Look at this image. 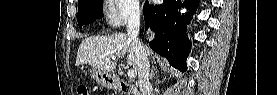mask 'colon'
Listing matches in <instances>:
<instances>
[{
  "label": "colon",
  "instance_id": "5ec220e1",
  "mask_svg": "<svg viewBox=\"0 0 277 95\" xmlns=\"http://www.w3.org/2000/svg\"><path fill=\"white\" fill-rule=\"evenodd\" d=\"M78 92H79V94H81V95H87V94H89V88H88L87 85H81V86H79V88H78Z\"/></svg>",
  "mask_w": 277,
  "mask_h": 95
}]
</instances>
